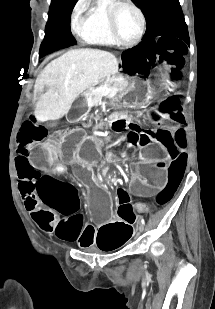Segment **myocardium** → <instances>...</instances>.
Instances as JSON below:
<instances>
[{"mask_svg":"<svg viewBox=\"0 0 215 309\" xmlns=\"http://www.w3.org/2000/svg\"><path fill=\"white\" fill-rule=\"evenodd\" d=\"M119 9H128L135 16L136 30H135L134 36L129 41H126V39H122V38L119 39L120 37L116 30L118 21L115 19V15H113V13ZM104 12L106 14V17H108L110 20L108 23L110 25V28L108 30L111 31V37H114L115 39V42L112 45L116 47H121V48H131L139 42V40L141 39L143 35V31H144V18H143L142 13L137 7H135L134 5H130V4H121L117 6L112 5L110 6L109 9L108 8L105 9Z\"/></svg>","mask_w":215,"mask_h":309,"instance_id":"obj_1","label":"myocardium"}]
</instances>
